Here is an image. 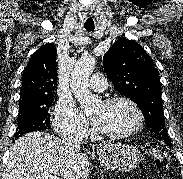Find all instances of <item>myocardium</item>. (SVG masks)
I'll use <instances>...</instances> for the list:
<instances>
[{
  "label": "myocardium",
  "mask_w": 183,
  "mask_h": 179,
  "mask_svg": "<svg viewBox=\"0 0 183 179\" xmlns=\"http://www.w3.org/2000/svg\"><path fill=\"white\" fill-rule=\"evenodd\" d=\"M118 102H124L131 106V108L133 109V111L135 112V115H136V122L132 128H130L129 130H126L124 132H120V133H110V132L98 130V132L102 136H105V137H108L111 139H122V138L130 137V136L134 135L135 133H137L144 124V116H143L141 108L133 99H131L127 96H113V97L106 99L103 102V104L112 105V104H115Z\"/></svg>",
  "instance_id": "1"
}]
</instances>
